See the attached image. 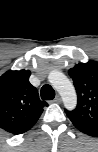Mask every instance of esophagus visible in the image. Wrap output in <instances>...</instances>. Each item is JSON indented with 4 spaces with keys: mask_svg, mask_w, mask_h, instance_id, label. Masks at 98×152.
I'll list each match as a JSON object with an SVG mask.
<instances>
[{
    "mask_svg": "<svg viewBox=\"0 0 98 152\" xmlns=\"http://www.w3.org/2000/svg\"><path fill=\"white\" fill-rule=\"evenodd\" d=\"M55 103H61V97L59 96V95H57L56 97H55V99L53 100Z\"/></svg>",
    "mask_w": 98,
    "mask_h": 152,
    "instance_id": "esophagus-1",
    "label": "esophagus"
}]
</instances>
